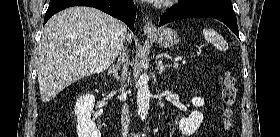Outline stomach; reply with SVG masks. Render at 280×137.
I'll return each mask as SVG.
<instances>
[{
	"label": "stomach",
	"instance_id": "0dacf381",
	"mask_svg": "<svg viewBox=\"0 0 280 137\" xmlns=\"http://www.w3.org/2000/svg\"><path fill=\"white\" fill-rule=\"evenodd\" d=\"M148 36L153 38L158 45L164 48L173 47L179 40L177 31L168 27H162L155 33H148Z\"/></svg>",
	"mask_w": 280,
	"mask_h": 137
}]
</instances>
